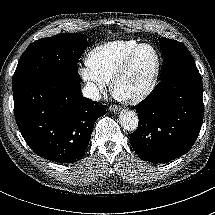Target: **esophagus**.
<instances>
[{"label": "esophagus", "mask_w": 215, "mask_h": 215, "mask_svg": "<svg viewBox=\"0 0 215 215\" xmlns=\"http://www.w3.org/2000/svg\"><path fill=\"white\" fill-rule=\"evenodd\" d=\"M109 110L112 111V112H117V111H119V108L116 107V106H112V107L109 108Z\"/></svg>", "instance_id": "1"}]
</instances>
